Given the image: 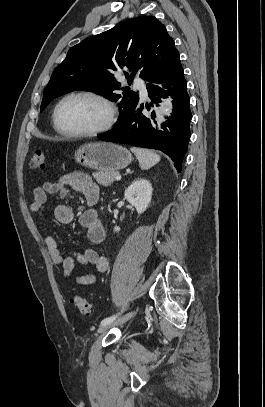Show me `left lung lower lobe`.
<instances>
[{"mask_svg": "<svg viewBox=\"0 0 265 407\" xmlns=\"http://www.w3.org/2000/svg\"><path fill=\"white\" fill-rule=\"evenodd\" d=\"M186 86L187 82L180 62L167 75L152 78L147 84L148 94L152 100L151 105L158 104L167 95L173 97V112L162 124V130L157 131L152 127L150 118L142 113L143 105H140L136 106L130 115L111 132L99 135L98 138L161 150L174 161L176 169L180 172L191 136L189 125L192 114ZM146 108L150 109L148 105ZM151 117L154 118V113Z\"/></svg>", "mask_w": 265, "mask_h": 407, "instance_id": "0a47b994", "label": "left lung lower lobe"}]
</instances>
